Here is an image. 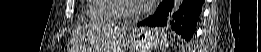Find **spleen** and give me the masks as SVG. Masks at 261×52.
I'll list each match as a JSON object with an SVG mask.
<instances>
[{"mask_svg":"<svg viewBox=\"0 0 261 52\" xmlns=\"http://www.w3.org/2000/svg\"><path fill=\"white\" fill-rule=\"evenodd\" d=\"M161 36H162V39H161L160 45L163 47L167 46V37H166L165 33H162Z\"/></svg>","mask_w":261,"mask_h":52,"instance_id":"3e777b00","label":"spleen"}]
</instances>
